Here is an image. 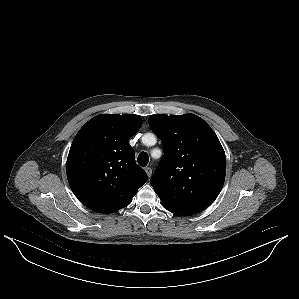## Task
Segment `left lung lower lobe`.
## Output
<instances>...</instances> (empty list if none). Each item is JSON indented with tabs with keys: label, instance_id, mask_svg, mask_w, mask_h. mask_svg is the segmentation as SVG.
Listing matches in <instances>:
<instances>
[{
	"label": "left lung lower lobe",
	"instance_id": "left-lung-lower-lobe-1",
	"mask_svg": "<svg viewBox=\"0 0 299 299\" xmlns=\"http://www.w3.org/2000/svg\"><path fill=\"white\" fill-rule=\"evenodd\" d=\"M164 208H166L168 211L175 213L177 215H182V216H189L198 213L199 211H193V210H180V209H174L170 208L168 206L163 205Z\"/></svg>",
	"mask_w": 299,
	"mask_h": 299
}]
</instances>
